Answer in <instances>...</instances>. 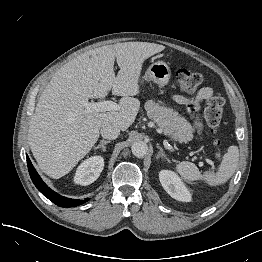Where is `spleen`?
<instances>
[{
    "label": "spleen",
    "instance_id": "spleen-1",
    "mask_svg": "<svg viewBox=\"0 0 262 262\" xmlns=\"http://www.w3.org/2000/svg\"><path fill=\"white\" fill-rule=\"evenodd\" d=\"M239 160V150L237 146H230L224 154L222 163L220 164L218 172H206L201 176L197 166L191 162L183 161L176 166V171L179 175L189 181L204 178L211 186L222 185L226 183L234 174L237 162Z\"/></svg>",
    "mask_w": 262,
    "mask_h": 262
}]
</instances>
